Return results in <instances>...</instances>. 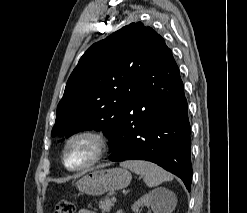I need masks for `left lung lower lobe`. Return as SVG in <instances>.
Returning <instances> with one entry per match:
<instances>
[{
  "label": "left lung lower lobe",
  "mask_w": 247,
  "mask_h": 213,
  "mask_svg": "<svg viewBox=\"0 0 247 213\" xmlns=\"http://www.w3.org/2000/svg\"><path fill=\"white\" fill-rule=\"evenodd\" d=\"M191 139L187 101L171 51L146 73L127 103L109 149L111 161L147 160L191 188Z\"/></svg>",
  "instance_id": "obj_1"
}]
</instances>
